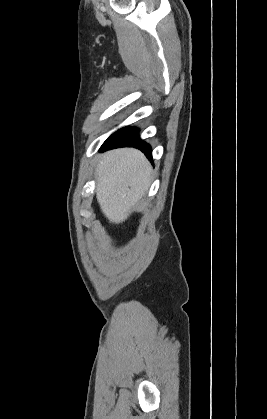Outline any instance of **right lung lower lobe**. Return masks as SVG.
<instances>
[{"mask_svg":"<svg viewBox=\"0 0 267 419\" xmlns=\"http://www.w3.org/2000/svg\"><path fill=\"white\" fill-rule=\"evenodd\" d=\"M119 147H135L152 160L151 147L138 136V130L125 127L112 134L101 146L100 151Z\"/></svg>","mask_w":267,"mask_h":419,"instance_id":"98d812e1","label":"right lung lower lobe"}]
</instances>
